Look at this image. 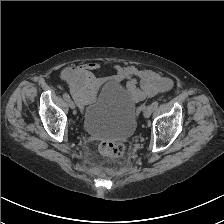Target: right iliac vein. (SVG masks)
<instances>
[{
    "mask_svg": "<svg viewBox=\"0 0 224 224\" xmlns=\"http://www.w3.org/2000/svg\"><path fill=\"white\" fill-rule=\"evenodd\" d=\"M68 105L71 109H75V104L71 99L68 100Z\"/></svg>",
    "mask_w": 224,
    "mask_h": 224,
    "instance_id": "right-iliac-vein-1",
    "label": "right iliac vein"
}]
</instances>
